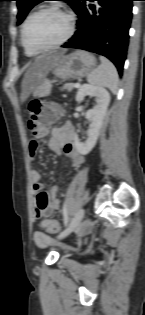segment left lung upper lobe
<instances>
[{"label":"left lung upper lobe","instance_id":"5c2ea615","mask_svg":"<svg viewBox=\"0 0 145 315\" xmlns=\"http://www.w3.org/2000/svg\"><path fill=\"white\" fill-rule=\"evenodd\" d=\"M15 1H17V7L19 10L17 18H18V24H20L34 5L42 1H47V0H15ZM60 1H66L70 3V6L74 10L79 0H60Z\"/></svg>","mask_w":145,"mask_h":315}]
</instances>
